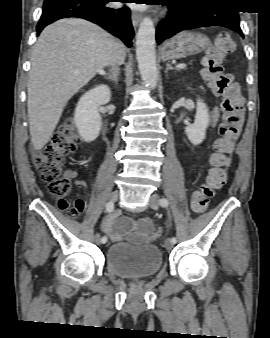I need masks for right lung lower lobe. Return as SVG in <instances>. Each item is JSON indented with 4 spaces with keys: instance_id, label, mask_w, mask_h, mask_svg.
<instances>
[{
    "instance_id": "98d812e1",
    "label": "right lung lower lobe",
    "mask_w": 270,
    "mask_h": 338,
    "mask_svg": "<svg viewBox=\"0 0 270 338\" xmlns=\"http://www.w3.org/2000/svg\"><path fill=\"white\" fill-rule=\"evenodd\" d=\"M117 0H45L43 12L37 25V34L54 21L66 17L89 20L119 37L128 47L134 35L130 10L110 8L107 3ZM127 3V0H121Z\"/></svg>"
}]
</instances>
